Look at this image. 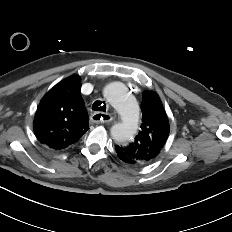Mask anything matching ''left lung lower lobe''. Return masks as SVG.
Segmentation results:
<instances>
[{
  "label": "left lung lower lobe",
  "mask_w": 232,
  "mask_h": 232,
  "mask_svg": "<svg viewBox=\"0 0 232 232\" xmlns=\"http://www.w3.org/2000/svg\"><path fill=\"white\" fill-rule=\"evenodd\" d=\"M116 153H117V156H118V158L120 159V160H122L123 162H125V163H127V164H130V165H132L131 163H132V160L128 157V156H126L125 154H123L121 151H119V150H116Z\"/></svg>",
  "instance_id": "0a47b994"
}]
</instances>
